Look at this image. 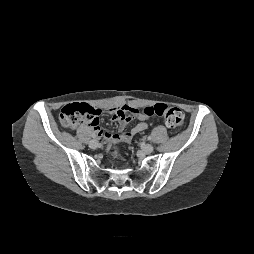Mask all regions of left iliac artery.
Segmentation results:
<instances>
[{
    "label": "left iliac artery",
    "mask_w": 254,
    "mask_h": 254,
    "mask_svg": "<svg viewBox=\"0 0 254 254\" xmlns=\"http://www.w3.org/2000/svg\"><path fill=\"white\" fill-rule=\"evenodd\" d=\"M148 140H151V136H148V138H147Z\"/></svg>",
    "instance_id": "1"
}]
</instances>
